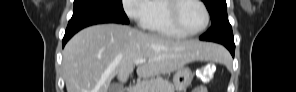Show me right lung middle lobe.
Instances as JSON below:
<instances>
[{"mask_svg": "<svg viewBox=\"0 0 296 92\" xmlns=\"http://www.w3.org/2000/svg\"><path fill=\"white\" fill-rule=\"evenodd\" d=\"M83 16H101L123 24L129 23L122 0H74L72 18Z\"/></svg>", "mask_w": 296, "mask_h": 92, "instance_id": "right-lung-middle-lobe-1", "label": "right lung middle lobe"}]
</instances>
